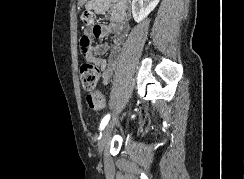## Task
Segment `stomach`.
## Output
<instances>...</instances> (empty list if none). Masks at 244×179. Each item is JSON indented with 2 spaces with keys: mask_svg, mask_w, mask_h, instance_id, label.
<instances>
[{
  "mask_svg": "<svg viewBox=\"0 0 244 179\" xmlns=\"http://www.w3.org/2000/svg\"><path fill=\"white\" fill-rule=\"evenodd\" d=\"M80 2H81V3H85V2H86V0H80Z\"/></svg>",
  "mask_w": 244,
  "mask_h": 179,
  "instance_id": "obj_1",
  "label": "stomach"
}]
</instances>
